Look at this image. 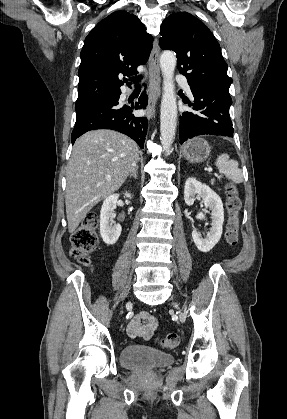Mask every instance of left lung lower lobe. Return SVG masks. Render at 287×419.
Wrapping results in <instances>:
<instances>
[{"instance_id":"obj_1","label":"left lung lower lobe","mask_w":287,"mask_h":419,"mask_svg":"<svg viewBox=\"0 0 287 419\" xmlns=\"http://www.w3.org/2000/svg\"><path fill=\"white\" fill-rule=\"evenodd\" d=\"M190 88L194 96L192 106L195 112H184L180 119V143L202 135L233 137L234 129L229 115L232 100L229 92Z\"/></svg>"}]
</instances>
